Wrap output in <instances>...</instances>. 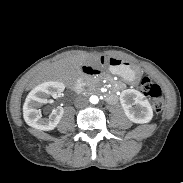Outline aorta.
Listing matches in <instances>:
<instances>
[{
  "mask_svg": "<svg viewBox=\"0 0 183 183\" xmlns=\"http://www.w3.org/2000/svg\"><path fill=\"white\" fill-rule=\"evenodd\" d=\"M90 102H91L92 104H97V103L99 102L98 96L92 95V96L90 97Z\"/></svg>",
  "mask_w": 183,
  "mask_h": 183,
  "instance_id": "obj_1",
  "label": "aorta"
}]
</instances>
